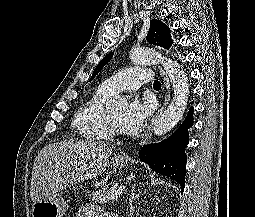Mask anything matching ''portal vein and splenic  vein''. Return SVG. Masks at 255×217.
Returning a JSON list of instances; mask_svg holds the SVG:
<instances>
[{
	"label": "portal vein and splenic vein",
	"instance_id": "1",
	"mask_svg": "<svg viewBox=\"0 0 255 217\" xmlns=\"http://www.w3.org/2000/svg\"><path fill=\"white\" fill-rule=\"evenodd\" d=\"M125 189V186H121L119 187L115 192H111V195L109 197V200H117L118 197L120 196V194L122 193V191Z\"/></svg>",
	"mask_w": 255,
	"mask_h": 217
}]
</instances>
